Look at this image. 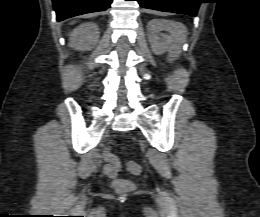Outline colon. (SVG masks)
Here are the masks:
<instances>
[{
	"instance_id": "obj_1",
	"label": "colon",
	"mask_w": 260,
	"mask_h": 217,
	"mask_svg": "<svg viewBox=\"0 0 260 217\" xmlns=\"http://www.w3.org/2000/svg\"><path fill=\"white\" fill-rule=\"evenodd\" d=\"M127 169L131 174L137 175L140 173V165L134 161L127 162ZM113 187L119 191H126L130 188V183L124 178H117L113 181Z\"/></svg>"
}]
</instances>
